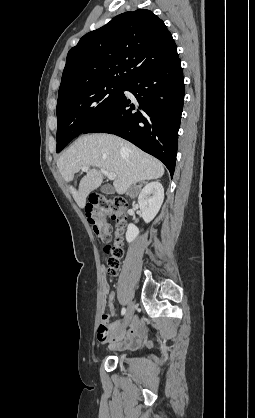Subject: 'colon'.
I'll return each mask as SVG.
<instances>
[{"instance_id":"obj_1","label":"colon","mask_w":255,"mask_h":418,"mask_svg":"<svg viewBox=\"0 0 255 418\" xmlns=\"http://www.w3.org/2000/svg\"><path fill=\"white\" fill-rule=\"evenodd\" d=\"M126 208L127 201L122 197L108 199L94 196L86 209L88 221L103 243V249L107 254L106 273L109 277L116 275L124 253L121 234L126 222ZM108 217L115 221V227L107 221Z\"/></svg>"}]
</instances>
